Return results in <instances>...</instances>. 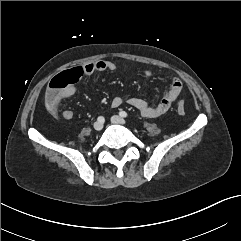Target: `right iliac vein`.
I'll return each instance as SVG.
<instances>
[{
	"mask_svg": "<svg viewBox=\"0 0 241 241\" xmlns=\"http://www.w3.org/2000/svg\"><path fill=\"white\" fill-rule=\"evenodd\" d=\"M93 127H94V129H95L96 131H100V130H102V128H103V123L97 121V122L94 123Z\"/></svg>",
	"mask_w": 241,
	"mask_h": 241,
	"instance_id": "obj_1",
	"label": "right iliac vein"
}]
</instances>
